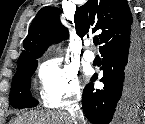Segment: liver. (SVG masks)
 Instances as JSON below:
<instances>
[{
  "label": "liver",
  "mask_w": 145,
  "mask_h": 124,
  "mask_svg": "<svg viewBox=\"0 0 145 124\" xmlns=\"http://www.w3.org/2000/svg\"><path fill=\"white\" fill-rule=\"evenodd\" d=\"M11 124H74L67 113L31 111L15 118Z\"/></svg>",
  "instance_id": "6515ba94"
}]
</instances>
